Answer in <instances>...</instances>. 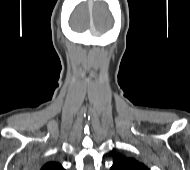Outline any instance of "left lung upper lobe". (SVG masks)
<instances>
[{
	"mask_svg": "<svg viewBox=\"0 0 190 170\" xmlns=\"http://www.w3.org/2000/svg\"><path fill=\"white\" fill-rule=\"evenodd\" d=\"M110 170H149L147 166L134 158L116 155Z\"/></svg>",
	"mask_w": 190,
	"mask_h": 170,
	"instance_id": "1",
	"label": "left lung upper lobe"
}]
</instances>
